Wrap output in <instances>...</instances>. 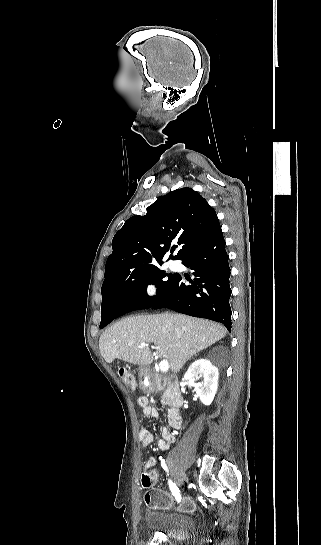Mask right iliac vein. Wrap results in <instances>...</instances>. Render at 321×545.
<instances>
[{
    "instance_id": "right-iliac-vein-1",
    "label": "right iliac vein",
    "mask_w": 321,
    "mask_h": 545,
    "mask_svg": "<svg viewBox=\"0 0 321 545\" xmlns=\"http://www.w3.org/2000/svg\"><path fill=\"white\" fill-rule=\"evenodd\" d=\"M184 479H185V475H184V474H181L180 477H179L178 479H176L175 482H176V484H177L178 487H181V486H182Z\"/></svg>"
}]
</instances>
